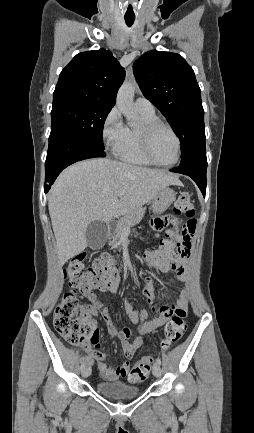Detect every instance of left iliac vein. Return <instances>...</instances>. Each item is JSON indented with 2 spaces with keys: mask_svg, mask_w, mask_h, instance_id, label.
<instances>
[{
  "mask_svg": "<svg viewBox=\"0 0 254 433\" xmlns=\"http://www.w3.org/2000/svg\"><path fill=\"white\" fill-rule=\"evenodd\" d=\"M152 372H153V375L155 376V377H160V375H161V367H160V364H158L157 362L156 363H154V365H153V368H152Z\"/></svg>",
  "mask_w": 254,
  "mask_h": 433,
  "instance_id": "1",
  "label": "left iliac vein"
}]
</instances>
